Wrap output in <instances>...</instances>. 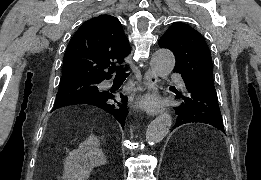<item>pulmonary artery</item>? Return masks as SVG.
I'll list each match as a JSON object with an SVG mask.
<instances>
[{"instance_id":"1","label":"pulmonary artery","mask_w":261,"mask_h":180,"mask_svg":"<svg viewBox=\"0 0 261 180\" xmlns=\"http://www.w3.org/2000/svg\"><path fill=\"white\" fill-rule=\"evenodd\" d=\"M166 77H179V72H166ZM166 83H181V78H166ZM108 84V83H106Z\"/></svg>"}]
</instances>
